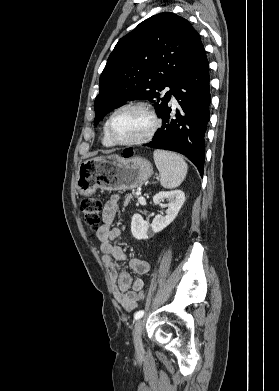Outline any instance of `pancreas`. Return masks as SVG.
Here are the masks:
<instances>
[{"label":"pancreas","mask_w":279,"mask_h":391,"mask_svg":"<svg viewBox=\"0 0 279 391\" xmlns=\"http://www.w3.org/2000/svg\"><path fill=\"white\" fill-rule=\"evenodd\" d=\"M133 196H134V193H132V194H127V195L125 196L124 204H125V205H128V204L130 203V201L133 200Z\"/></svg>","instance_id":"1"}]
</instances>
